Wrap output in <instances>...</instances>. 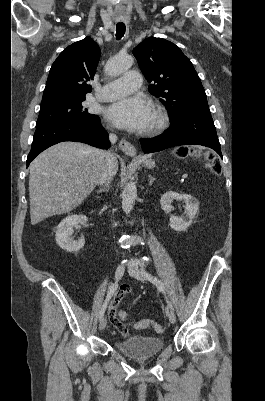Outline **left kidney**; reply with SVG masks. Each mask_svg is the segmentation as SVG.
Here are the masks:
<instances>
[{
    "label": "left kidney",
    "instance_id": "obj_1",
    "mask_svg": "<svg viewBox=\"0 0 265 401\" xmlns=\"http://www.w3.org/2000/svg\"><path fill=\"white\" fill-rule=\"evenodd\" d=\"M184 201L185 205V213H183L182 217H170V227L174 229V231H186L187 227L192 225V221L198 211L199 203L195 196H191V194H182V192H174V190H168V192H164L161 196V209L165 211V213H170L173 207L171 205L172 201Z\"/></svg>",
    "mask_w": 265,
    "mask_h": 401
}]
</instances>
